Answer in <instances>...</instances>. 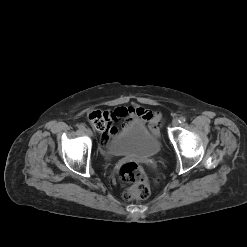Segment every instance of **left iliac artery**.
<instances>
[{
    "label": "left iliac artery",
    "mask_w": 247,
    "mask_h": 247,
    "mask_svg": "<svg viewBox=\"0 0 247 247\" xmlns=\"http://www.w3.org/2000/svg\"><path fill=\"white\" fill-rule=\"evenodd\" d=\"M185 121H186L185 117L182 116V117L179 118V123H184Z\"/></svg>",
    "instance_id": "left-iliac-artery-1"
}]
</instances>
